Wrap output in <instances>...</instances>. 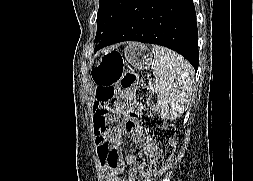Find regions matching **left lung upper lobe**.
<instances>
[{
    "mask_svg": "<svg viewBox=\"0 0 253 181\" xmlns=\"http://www.w3.org/2000/svg\"><path fill=\"white\" fill-rule=\"evenodd\" d=\"M130 1L100 0L95 41H99L114 26Z\"/></svg>",
    "mask_w": 253,
    "mask_h": 181,
    "instance_id": "obj_1",
    "label": "left lung upper lobe"
}]
</instances>
